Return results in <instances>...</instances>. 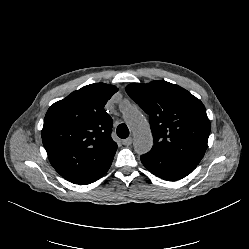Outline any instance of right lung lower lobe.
Returning <instances> with one entry per match:
<instances>
[{"instance_id": "obj_1", "label": "right lung lower lobe", "mask_w": 249, "mask_h": 249, "mask_svg": "<svg viewBox=\"0 0 249 249\" xmlns=\"http://www.w3.org/2000/svg\"><path fill=\"white\" fill-rule=\"evenodd\" d=\"M114 157V156H113ZM113 157L110 158L108 161H106L104 163V165H102L97 171H95L92 175L88 176L87 178L83 179L82 181L76 183V184H80V185H84V184H90L96 180H98L99 178H101L110 168Z\"/></svg>"}]
</instances>
